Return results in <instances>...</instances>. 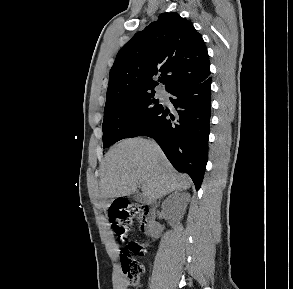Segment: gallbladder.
<instances>
[{
  "label": "gallbladder",
  "mask_w": 293,
  "mask_h": 289,
  "mask_svg": "<svg viewBox=\"0 0 293 289\" xmlns=\"http://www.w3.org/2000/svg\"><path fill=\"white\" fill-rule=\"evenodd\" d=\"M133 198L138 201V202H142L144 199L143 197L139 194V193H136Z\"/></svg>",
  "instance_id": "bac80fb5"
}]
</instances>
